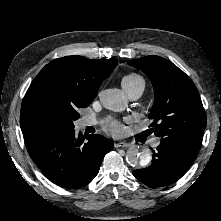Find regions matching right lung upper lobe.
<instances>
[{
  "label": "right lung upper lobe",
  "mask_w": 221,
  "mask_h": 221,
  "mask_svg": "<svg viewBox=\"0 0 221 221\" xmlns=\"http://www.w3.org/2000/svg\"><path fill=\"white\" fill-rule=\"evenodd\" d=\"M116 65L114 58L92 60L81 56H66L47 64L32 81L22 102L20 126L25 141L60 132L57 122L40 107L42 98L90 104Z\"/></svg>",
  "instance_id": "cb5924a9"
}]
</instances>
